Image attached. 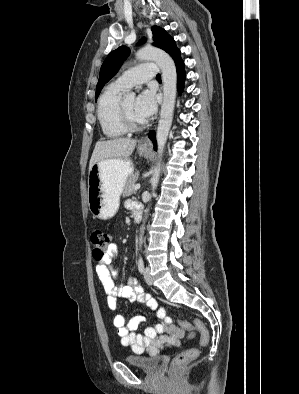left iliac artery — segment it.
<instances>
[{
  "label": "left iliac artery",
  "instance_id": "obj_1",
  "mask_svg": "<svg viewBox=\"0 0 299 394\" xmlns=\"http://www.w3.org/2000/svg\"><path fill=\"white\" fill-rule=\"evenodd\" d=\"M138 270L141 273H143V271H144V261H143L142 257H140L138 260Z\"/></svg>",
  "mask_w": 299,
  "mask_h": 394
}]
</instances>
